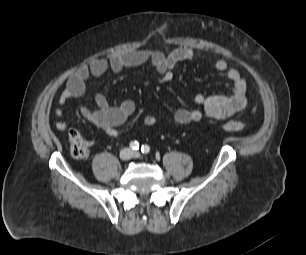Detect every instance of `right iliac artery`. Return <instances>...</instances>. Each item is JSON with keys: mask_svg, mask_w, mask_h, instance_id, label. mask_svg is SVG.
I'll return each instance as SVG.
<instances>
[{"mask_svg": "<svg viewBox=\"0 0 306 255\" xmlns=\"http://www.w3.org/2000/svg\"><path fill=\"white\" fill-rule=\"evenodd\" d=\"M130 148L134 151L138 150L139 149V143L138 141H132L130 142L129 144Z\"/></svg>", "mask_w": 306, "mask_h": 255, "instance_id": "right-iliac-artery-1", "label": "right iliac artery"}]
</instances>
